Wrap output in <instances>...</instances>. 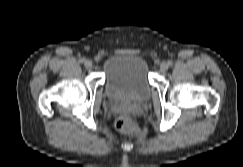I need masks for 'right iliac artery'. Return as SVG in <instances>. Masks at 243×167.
I'll return each instance as SVG.
<instances>
[{"label": "right iliac artery", "mask_w": 243, "mask_h": 167, "mask_svg": "<svg viewBox=\"0 0 243 167\" xmlns=\"http://www.w3.org/2000/svg\"><path fill=\"white\" fill-rule=\"evenodd\" d=\"M79 62H80V63H84V62H85V58H81V59L79 60Z\"/></svg>", "instance_id": "right-iliac-artery-1"}]
</instances>
